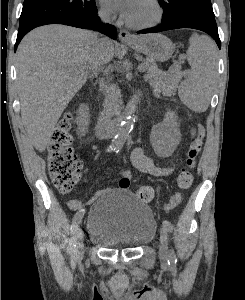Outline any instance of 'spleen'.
<instances>
[{
  "label": "spleen",
  "instance_id": "3e777b00",
  "mask_svg": "<svg viewBox=\"0 0 245 300\" xmlns=\"http://www.w3.org/2000/svg\"><path fill=\"white\" fill-rule=\"evenodd\" d=\"M191 70L179 87L181 101L195 112H204L212 96L217 49L211 39L193 34L187 50Z\"/></svg>",
  "mask_w": 245,
  "mask_h": 300
}]
</instances>
